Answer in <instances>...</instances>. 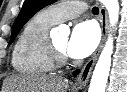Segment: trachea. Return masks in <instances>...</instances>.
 Returning <instances> with one entry per match:
<instances>
[{"mask_svg": "<svg viewBox=\"0 0 127 92\" xmlns=\"http://www.w3.org/2000/svg\"><path fill=\"white\" fill-rule=\"evenodd\" d=\"M92 13H93V14H98V13H99L98 7H93Z\"/></svg>", "mask_w": 127, "mask_h": 92, "instance_id": "3493384b", "label": "trachea"}]
</instances>
